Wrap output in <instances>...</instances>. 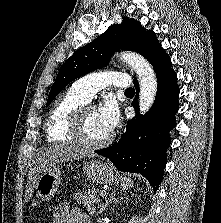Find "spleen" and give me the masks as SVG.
<instances>
[{
    "mask_svg": "<svg viewBox=\"0 0 221 223\" xmlns=\"http://www.w3.org/2000/svg\"><path fill=\"white\" fill-rule=\"evenodd\" d=\"M121 181H122L121 185L124 189H128V187H132V180L130 178L124 177Z\"/></svg>",
    "mask_w": 221,
    "mask_h": 223,
    "instance_id": "obj_1",
    "label": "spleen"
}]
</instances>
